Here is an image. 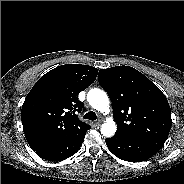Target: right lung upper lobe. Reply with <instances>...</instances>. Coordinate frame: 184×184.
I'll list each match as a JSON object with an SVG mask.
<instances>
[{
  "mask_svg": "<svg viewBox=\"0 0 184 184\" xmlns=\"http://www.w3.org/2000/svg\"><path fill=\"white\" fill-rule=\"evenodd\" d=\"M98 70L82 64L58 66L43 75L22 105L25 137L34 151L76 141L90 125L78 119L83 104L78 94L90 86Z\"/></svg>",
  "mask_w": 184,
  "mask_h": 184,
  "instance_id": "right-lung-upper-lobe-1",
  "label": "right lung upper lobe"
}]
</instances>
